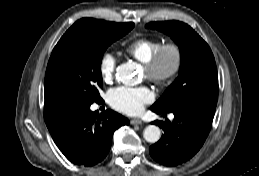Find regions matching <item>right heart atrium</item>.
Masks as SVG:
<instances>
[{
	"label": "right heart atrium",
	"mask_w": 259,
	"mask_h": 176,
	"mask_svg": "<svg viewBox=\"0 0 259 176\" xmlns=\"http://www.w3.org/2000/svg\"><path fill=\"white\" fill-rule=\"evenodd\" d=\"M117 58L111 52H104L99 60V74L104 83H111L115 77Z\"/></svg>",
	"instance_id": "d8ad5b80"
}]
</instances>
